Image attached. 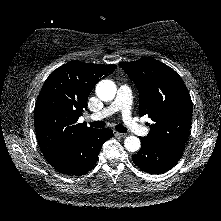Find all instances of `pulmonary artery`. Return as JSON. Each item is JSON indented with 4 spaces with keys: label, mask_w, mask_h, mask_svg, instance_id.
Listing matches in <instances>:
<instances>
[{
    "label": "pulmonary artery",
    "mask_w": 221,
    "mask_h": 221,
    "mask_svg": "<svg viewBox=\"0 0 221 221\" xmlns=\"http://www.w3.org/2000/svg\"><path fill=\"white\" fill-rule=\"evenodd\" d=\"M132 94L127 85H122L118 89L117 96L114 101L101 110L100 112L91 115L92 120H100L113 115L116 112H121L123 122L126 127L136 135L146 136L149 129L137 122L131 115Z\"/></svg>",
    "instance_id": "e3ab8cb5"
}]
</instances>
